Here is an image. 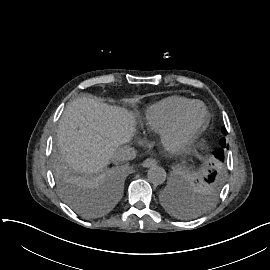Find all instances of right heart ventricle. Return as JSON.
Instances as JSON below:
<instances>
[{
	"mask_svg": "<svg viewBox=\"0 0 270 270\" xmlns=\"http://www.w3.org/2000/svg\"><path fill=\"white\" fill-rule=\"evenodd\" d=\"M193 103L195 101L192 99L173 95L151 104L146 110L147 129L153 133H161L183 110Z\"/></svg>",
	"mask_w": 270,
	"mask_h": 270,
	"instance_id": "right-heart-ventricle-1",
	"label": "right heart ventricle"
}]
</instances>
